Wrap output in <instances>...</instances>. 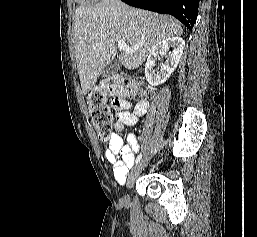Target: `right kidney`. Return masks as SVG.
<instances>
[{"mask_svg":"<svg viewBox=\"0 0 257 237\" xmlns=\"http://www.w3.org/2000/svg\"><path fill=\"white\" fill-rule=\"evenodd\" d=\"M184 47L185 41L178 36L163 39L152 47L145 64V77L149 84L157 86L166 82L177 67ZM170 48L173 50L169 51ZM159 55H165L167 57L160 71L154 69L155 62Z\"/></svg>","mask_w":257,"mask_h":237,"instance_id":"right-kidney-1","label":"right kidney"}]
</instances>
